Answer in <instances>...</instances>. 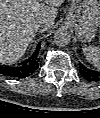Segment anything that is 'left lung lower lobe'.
Instances as JSON below:
<instances>
[{
  "instance_id": "0a47b994",
  "label": "left lung lower lobe",
  "mask_w": 100,
  "mask_h": 118,
  "mask_svg": "<svg viewBox=\"0 0 100 118\" xmlns=\"http://www.w3.org/2000/svg\"><path fill=\"white\" fill-rule=\"evenodd\" d=\"M80 73L87 81H99L100 72L93 71L80 64Z\"/></svg>"
}]
</instances>
